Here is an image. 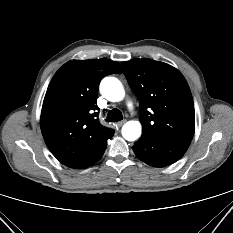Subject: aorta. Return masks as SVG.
Masks as SVG:
<instances>
[{
	"instance_id": "obj_1",
	"label": "aorta",
	"mask_w": 233,
	"mask_h": 233,
	"mask_svg": "<svg viewBox=\"0 0 233 233\" xmlns=\"http://www.w3.org/2000/svg\"><path fill=\"white\" fill-rule=\"evenodd\" d=\"M102 95L109 101L118 102L124 98L125 91L121 82L115 77H105L100 84ZM122 136L128 141H135L141 136L139 121H129L122 127Z\"/></svg>"
}]
</instances>
